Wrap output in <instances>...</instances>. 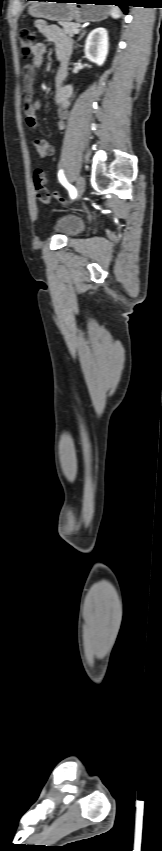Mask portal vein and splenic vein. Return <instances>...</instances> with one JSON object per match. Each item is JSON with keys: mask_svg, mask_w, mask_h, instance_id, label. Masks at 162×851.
Masks as SVG:
<instances>
[{"mask_svg": "<svg viewBox=\"0 0 162 851\" xmlns=\"http://www.w3.org/2000/svg\"><path fill=\"white\" fill-rule=\"evenodd\" d=\"M78 32H79V30H77L75 33H78Z\"/></svg>", "mask_w": 162, "mask_h": 851, "instance_id": "18ae733b", "label": "portal vein and splenic vein"}]
</instances>
